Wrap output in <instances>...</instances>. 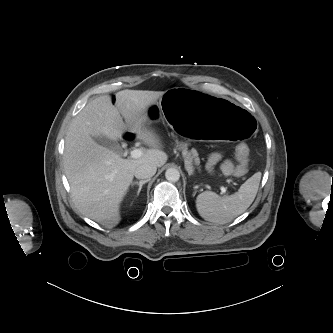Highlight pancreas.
Segmentation results:
<instances>
[{
  "instance_id": "cf45deb5",
  "label": "pancreas",
  "mask_w": 333,
  "mask_h": 333,
  "mask_svg": "<svg viewBox=\"0 0 333 333\" xmlns=\"http://www.w3.org/2000/svg\"><path fill=\"white\" fill-rule=\"evenodd\" d=\"M187 143H180L179 147L182 150V154L185 158V167L189 174L193 172V163L196 165L200 164V159L198 158V153L196 150L188 151Z\"/></svg>"
}]
</instances>
